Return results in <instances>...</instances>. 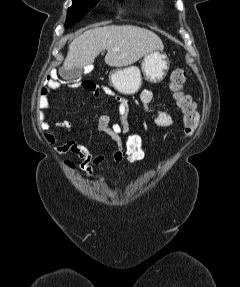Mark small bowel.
Returning a JSON list of instances; mask_svg holds the SVG:
<instances>
[{
    "label": "small bowel",
    "instance_id": "1",
    "mask_svg": "<svg viewBox=\"0 0 240 287\" xmlns=\"http://www.w3.org/2000/svg\"><path fill=\"white\" fill-rule=\"evenodd\" d=\"M61 87V83L51 76L47 77L45 86L40 91L38 99V108L41 110H48L50 108V98L52 93ZM96 97L101 94L110 97L117 103L118 124L122 126V133L116 134L113 126L110 123V116L108 114H101L98 118L97 129L100 133L110 136L115 142V148L112 154V159L115 164H120L125 160V155L122 148V135L128 131L129 126V114L130 103L126 98L117 95L114 90L107 86H95L90 91ZM153 100V92L148 89H144L140 93L141 107L144 113L150 114L153 122L162 128H169L173 126L174 117L162 110H155L151 107ZM56 127L69 131L71 128V122L68 120H61L56 123ZM46 140L49 143L58 144V150L61 153H72L80 159L79 167L87 174H92L93 167L101 165L105 160V155L101 151L92 152L86 145L76 140H68L60 143L59 138L49 133L46 136Z\"/></svg>",
    "mask_w": 240,
    "mask_h": 287
}]
</instances>
